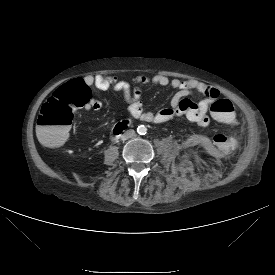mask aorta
I'll return each instance as SVG.
<instances>
[{"mask_svg":"<svg viewBox=\"0 0 275 275\" xmlns=\"http://www.w3.org/2000/svg\"><path fill=\"white\" fill-rule=\"evenodd\" d=\"M146 131H147V128L144 125H139L138 128H137V132L140 135L146 134Z\"/></svg>","mask_w":275,"mask_h":275,"instance_id":"762f6f07","label":"aorta"}]
</instances>
